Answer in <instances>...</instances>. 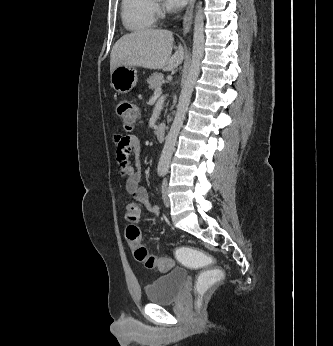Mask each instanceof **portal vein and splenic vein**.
<instances>
[{"mask_svg": "<svg viewBox=\"0 0 333 346\" xmlns=\"http://www.w3.org/2000/svg\"><path fill=\"white\" fill-rule=\"evenodd\" d=\"M162 94V89L159 87L154 91V99H157L158 97H160V95Z\"/></svg>", "mask_w": 333, "mask_h": 346, "instance_id": "1", "label": "portal vein and splenic vein"}]
</instances>
